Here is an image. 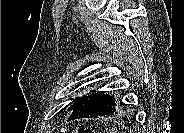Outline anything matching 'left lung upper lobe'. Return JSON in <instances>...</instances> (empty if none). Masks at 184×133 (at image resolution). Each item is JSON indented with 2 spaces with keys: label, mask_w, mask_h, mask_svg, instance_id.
I'll return each mask as SVG.
<instances>
[{
  "label": "left lung upper lobe",
  "mask_w": 184,
  "mask_h": 133,
  "mask_svg": "<svg viewBox=\"0 0 184 133\" xmlns=\"http://www.w3.org/2000/svg\"><path fill=\"white\" fill-rule=\"evenodd\" d=\"M86 97V95H84V96H82V97H80V98H77L76 100H75V102H74V104L73 105H71L69 108H68V111H73V109L84 99ZM127 105H123V109H124V111H128L129 110V108H127L126 107Z\"/></svg>",
  "instance_id": "1"
}]
</instances>
